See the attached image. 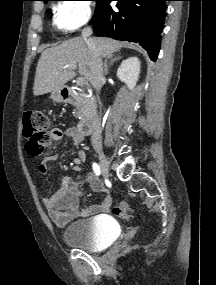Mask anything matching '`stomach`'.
Instances as JSON below:
<instances>
[{"instance_id":"obj_1","label":"stomach","mask_w":216,"mask_h":285,"mask_svg":"<svg viewBox=\"0 0 216 285\" xmlns=\"http://www.w3.org/2000/svg\"><path fill=\"white\" fill-rule=\"evenodd\" d=\"M62 91H63V88L52 91L51 99L57 103L64 102L65 96L63 95Z\"/></svg>"}]
</instances>
